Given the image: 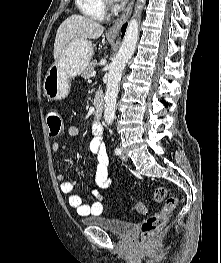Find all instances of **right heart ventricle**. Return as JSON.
Returning a JSON list of instances; mask_svg holds the SVG:
<instances>
[{
    "mask_svg": "<svg viewBox=\"0 0 221 263\" xmlns=\"http://www.w3.org/2000/svg\"><path fill=\"white\" fill-rule=\"evenodd\" d=\"M79 11L86 17L102 21L106 16V8L103 0H76Z\"/></svg>",
    "mask_w": 221,
    "mask_h": 263,
    "instance_id": "1",
    "label": "right heart ventricle"
}]
</instances>
